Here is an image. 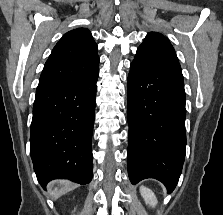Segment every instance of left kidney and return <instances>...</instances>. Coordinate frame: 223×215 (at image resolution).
I'll return each mask as SVG.
<instances>
[{
    "mask_svg": "<svg viewBox=\"0 0 223 215\" xmlns=\"http://www.w3.org/2000/svg\"><path fill=\"white\" fill-rule=\"evenodd\" d=\"M140 193L142 197H144L146 203H149V205H152V207H154V205L158 203L154 191H152V189H149V187H144V185H141Z\"/></svg>",
    "mask_w": 223,
    "mask_h": 215,
    "instance_id": "5707ae66",
    "label": "left kidney"
}]
</instances>
